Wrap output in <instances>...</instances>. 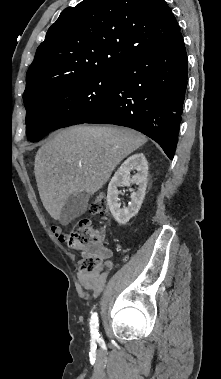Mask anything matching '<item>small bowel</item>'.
<instances>
[{
  "label": "small bowel",
  "mask_w": 221,
  "mask_h": 379,
  "mask_svg": "<svg viewBox=\"0 0 221 379\" xmlns=\"http://www.w3.org/2000/svg\"><path fill=\"white\" fill-rule=\"evenodd\" d=\"M111 251L108 249H102L101 252V265L95 272H81L78 274V279L80 283L87 290L92 291L94 297H97L100 291L103 289L106 280V273L103 272V267L110 269L112 263L110 262Z\"/></svg>",
  "instance_id": "obj_1"
}]
</instances>
